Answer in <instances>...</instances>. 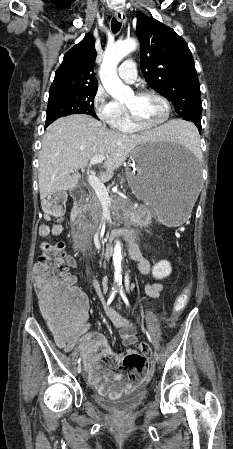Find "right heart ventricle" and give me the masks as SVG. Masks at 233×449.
Instances as JSON below:
<instances>
[{
  "label": "right heart ventricle",
  "mask_w": 233,
  "mask_h": 449,
  "mask_svg": "<svg viewBox=\"0 0 233 449\" xmlns=\"http://www.w3.org/2000/svg\"><path fill=\"white\" fill-rule=\"evenodd\" d=\"M110 125L115 131L123 134H135L142 130L131 122L124 106L121 104H117V113Z\"/></svg>",
  "instance_id": "obj_1"
}]
</instances>
